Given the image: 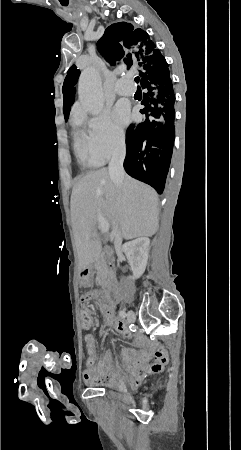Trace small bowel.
<instances>
[{
	"mask_svg": "<svg viewBox=\"0 0 241 450\" xmlns=\"http://www.w3.org/2000/svg\"><path fill=\"white\" fill-rule=\"evenodd\" d=\"M82 286L85 287L87 285ZM102 297L104 300L101 305L102 310L111 321L115 331L124 337L130 338L131 333L124 322L120 319L112 318L111 311L114 301L109 300L103 292L102 295L98 290L86 293L82 297V303L85 306L90 300L102 299ZM83 311H91V309L85 307ZM84 343L88 353L84 379L89 385L104 384L115 386L122 382H128L133 388H137L147 373L161 371L164 364L168 361L167 351L162 346H154L142 338H137L135 344L141 347L142 351L137 352L134 349L126 348L123 351L124 364L119 367H109L99 361L95 347L96 339L93 335H85ZM153 358L154 362L148 367L146 359Z\"/></svg>",
	"mask_w": 241,
	"mask_h": 450,
	"instance_id": "small-bowel-1",
	"label": "small bowel"
}]
</instances>
